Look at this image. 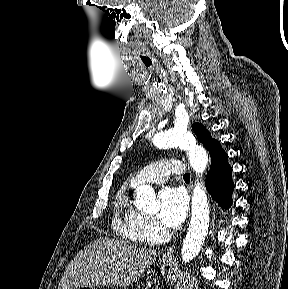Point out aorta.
I'll return each mask as SVG.
<instances>
[{
    "mask_svg": "<svg viewBox=\"0 0 288 289\" xmlns=\"http://www.w3.org/2000/svg\"><path fill=\"white\" fill-rule=\"evenodd\" d=\"M154 144L159 148L179 147L187 150L190 165L196 174L206 170L208 155L206 150L197 145L192 136L184 128H173L155 135ZM135 206L147 212L159 210L160 203L154 189L149 185H141L136 189ZM209 204L201 182L197 180L193 189L191 220L187 235L181 249L182 260L191 261L200 252L209 226Z\"/></svg>",
    "mask_w": 288,
    "mask_h": 289,
    "instance_id": "1",
    "label": "aorta"
}]
</instances>
